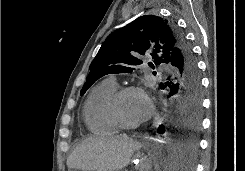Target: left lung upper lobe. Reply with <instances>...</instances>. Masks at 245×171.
Listing matches in <instances>:
<instances>
[{
	"label": "left lung upper lobe",
	"mask_w": 245,
	"mask_h": 171,
	"mask_svg": "<svg viewBox=\"0 0 245 171\" xmlns=\"http://www.w3.org/2000/svg\"><path fill=\"white\" fill-rule=\"evenodd\" d=\"M188 46L181 31L171 20L156 15L137 18L114 31L102 44L90 65V72L81 89V96L99 78L110 73H130L143 63L142 56L150 54L152 68L169 63L172 55Z\"/></svg>",
	"instance_id": "obj_1"
}]
</instances>
